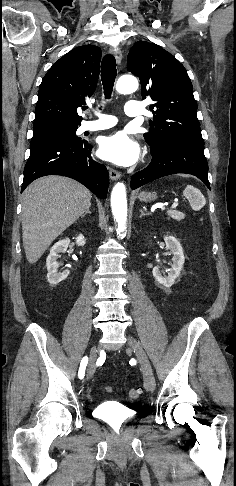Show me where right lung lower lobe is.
<instances>
[{
	"label": "right lung lower lobe",
	"instance_id": "1",
	"mask_svg": "<svg viewBox=\"0 0 236 486\" xmlns=\"http://www.w3.org/2000/svg\"><path fill=\"white\" fill-rule=\"evenodd\" d=\"M91 150L92 146L81 139L68 140L58 136L32 138L21 192L39 177L63 175L79 181L99 198L105 199L109 186L108 171L92 159Z\"/></svg>",
	"mask_w": 236,
	"mask_h": 486
}]
</instances>
